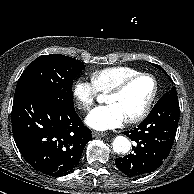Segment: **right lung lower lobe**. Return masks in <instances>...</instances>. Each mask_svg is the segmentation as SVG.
<instances>
[{
  "mask_svg": "<svg viewBox=\"0 0 194 194\" xmlns=\"http://www.w3.org/2000/svg\"><path fill=\"white\" fill-rule=\"evenodd\" d=\"M11 118L20 153L33 168L49 176L70 173L92 139L91 130L75 112L73 100L46 93L14 96Z\"/></svg>",
  "mask_w": 194,
  "mask_h": 194,
  "instance_id": "right-lung-lower-lobe-1",
  "label": "right lung lower lobe"
}]
</instances>
